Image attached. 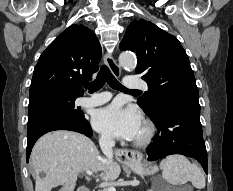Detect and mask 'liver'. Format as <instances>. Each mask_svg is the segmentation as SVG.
I'll return each instance as SVG.
<instances>
[{
	"label": "liver",
	"mask_w": 233,
	"mask_h": 191,
	"mask_svg": "<svg viewBox=\"0 0 233 191\" xmlns=\"http://www.w3.org/2000/svg\"><path fill=\"white\" fill-rule=\"evenodd\" d=\"M31 166L36 177L35 191H51L59 185L63 191H73L78 174L87 170L101 172L107 181L116 180L121 172L117 162H103L88 137L68 130L43 135L33 147ZM41 173L45 177L41 178Z\"/></svg>",
	"instance_id": "1"
}]
</instances>
